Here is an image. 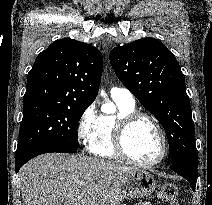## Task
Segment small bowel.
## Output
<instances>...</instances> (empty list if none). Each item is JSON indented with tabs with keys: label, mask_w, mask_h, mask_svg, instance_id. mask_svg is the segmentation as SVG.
Segmentation results:
<instances>
[{
	"label": "small bowel",
	"mask_w": 212,
	"mask_h": 205,
	"mask_svg": "<svg viewBox=\"0 0 212 205\" xmlns=\"http://www.w3.org/2000/svg\"><path fill=\"white\" fill-rule=\"evenodd\" d=\"M136 205H152V204L147 203V202H142V203H138V204H136Z\"/></svg>",
	"instance_id": "obj_1"
}]
</instances>
